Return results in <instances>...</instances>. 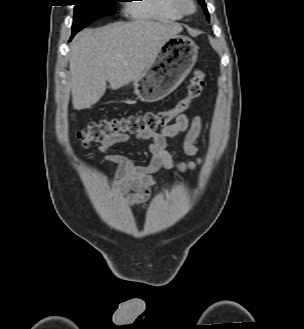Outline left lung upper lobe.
I'll return each mask as SVG.
<instances>
[{"label":"left lung upper lobe","mask_w":304,"mask_h":329,"mask_svg":"<svg viewBox=\"0 0 304 329\" xmlns=\"http://www.w3.org/2000/svg\"><path fill=\"white\" fill-rule=\"evenodd\" d=\"M198 1H199L200 5L204 8L206 17L209 18V13L207 11L206 4H205L204 0H198Z\"/></svg>","instance_id":"obj_1"}]
</instances>
